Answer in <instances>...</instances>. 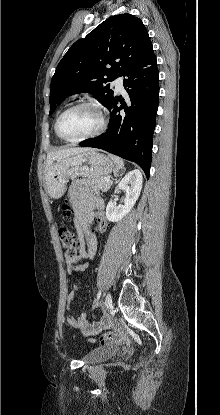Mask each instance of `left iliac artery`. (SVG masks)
Segmentation results:
<instances>
[{
	"mask_svg": "<svg viewBox=\"0 0 220 415\" xmlns=\"http://www.w3.org/2000/svg\"><path fill=\"white\" fill-rule=\"evenodd\" d=\"M100 297H101V290H99V292L97 293V296H96V298L93 302V308H95L98 305V301H99Z\"/></svg>",
	"mask_w": 220,
	"mask_h": 415,
	"instance_id": "obj_1",
	"label": "left iliac artery"
}]
</instances>
